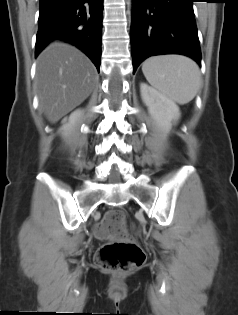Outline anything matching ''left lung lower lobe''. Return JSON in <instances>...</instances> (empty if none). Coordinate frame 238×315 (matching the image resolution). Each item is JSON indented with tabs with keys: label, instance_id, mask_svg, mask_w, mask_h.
<instances>
[{
	"label": "left lung lower lobe",
	"instance_id": "1",
	"mask_svg": "<svg viewBox=\"0 0 238 315\" xmlns=\"http://www.w3.org/2000/svg\"><path fill=\"white\" fill-rule=\"evenodd\" d=\"M194 0H134L130 29L135 73L142 61L161 54H182L201 66Z\"/></svg>",
	"mask_w": 238,
	"mask_h": 315
}]
</instances>
